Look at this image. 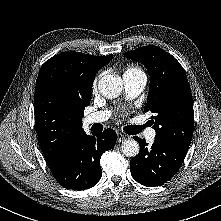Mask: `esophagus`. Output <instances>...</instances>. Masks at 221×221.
<instances>
[{"instance_id": "esophagus-1", "label": "esophagus", "mask_w": 221, "mask_h": 221, "mask_svg": "<svg viewBox=\"0 0 221 221\" xmlns=\"http://www.w3.org/2000/svg\"><path fill=\"white\" fill-rule=\"evenodd\" d=\"M126 139V136L120 132L117 133V141L122 142Z\"/></svg>"}]
</instances>
